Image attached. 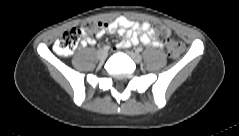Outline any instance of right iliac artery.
Listing matches in <instances>:
<instances>
[{
	"label": "right iliac artery",
	"instance_id": "right-iliac-artery-1",
	"mask_svg": "<svg viewBox=\"0 0 239 136\" xmlns=\"http://www.w3.org/2000/svg\"><path fill=\"white\" fill-rule=\"evenodd\" d=\"M109 48H110V46H108V45L104 46L105 50H109Z\"/></svg>",
	"mask_w": 239,
	"mask_h": 136
}]
</instances>
